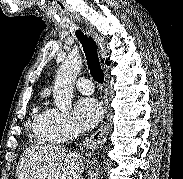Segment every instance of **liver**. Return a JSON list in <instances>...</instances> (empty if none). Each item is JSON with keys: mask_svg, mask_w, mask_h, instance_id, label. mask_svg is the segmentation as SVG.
Instances as JSON below:
<instances>
[{"mask_svg": "<svg viewBox=\"0 0 183 179\" xmlns=\"http://www.w3.org/2000/svg\"><path fill=\"white\" fill-rule=\"evenodd\" d=\"M80 169L83 172L84 166L78 154L62 146L35 145L21 155L16 179H74Z\"/></svg>", "mask_w": 183, "mask_h": 179, "instance_id": "1", "label": "liver"}]
</instances>
